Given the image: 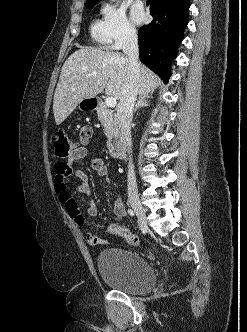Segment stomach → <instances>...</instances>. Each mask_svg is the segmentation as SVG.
<instances>
[{"instance_id": "1", "label": "stomach", "mask_w": 247, "mask_h": 332, "mask_svg": "<svg viewBox=\"0 0 247 332\" xmlns=\"http://www.w3.org/2000/svg\"><path fill=\"white\" fill-rule=\"evenodd\" d=\"M91 101H89V99H84L79 103V108L83 109V110H88L91 109Z\"/></svg>"}]
</instances>
